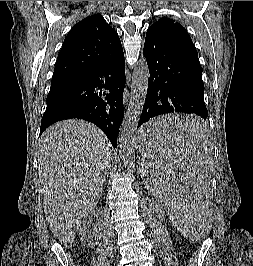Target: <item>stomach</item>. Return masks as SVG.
I'll use <instances>...</instances> for the list:
<instances>
[{"label": "stomach", "instance_id": "1", "mask_svg": "<svg viewBox=\"0 0 253 266\" xmlns=\"http://www.w3.org/2000/svg\"><path fill=\"white\" fill-rule=\"evenodd\" d=\"M140 138H146L143 129H140L139 134H138L139 147H140Z\"/></svg>", "mask_w": 253, "mask_h": 266}]
</instances>
